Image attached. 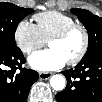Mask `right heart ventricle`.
<instances>
[{
	"label": "right heart ventricle",
	"mask_w": 102,
	"mask_h": 102,
	"mask_svg": "<svg viewBox=\"0 0 102 102\" xmlns=\"http://www.w3.org/2000/svg\"><path fill=\"white\" fill-rule=\"evenodd\" d=\"M34 19L36 27L45 41L50 40L58 32L76 23L75 18L58 11L38 13L34 15Z\"/></svg>",
	"instance_id": "1"
}]
</instances>
